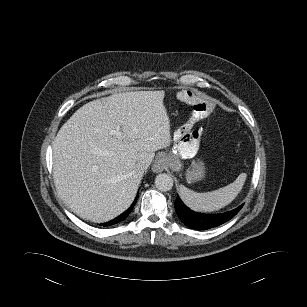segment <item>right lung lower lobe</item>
I'll return each instance as SVG.
<instances>
[{"label": "right lung lower lobe", "mask_w": 307, "mask_h": 307, "mask_svg": "<svg viewBox=\"0 0 307 307\" xmlns=\"http://www.w3.org/2000/svg\"><path fill=\"white\" fill-rule=\"evenodd\" d=\"M136 200H137V197L134 200V202L131 205V207L129 209H127L124 213H122L120 216H118L117 218H115V219H113V220H111L109 222L101 224V226H104V227L105 226H111V225H114L116 223H119V222L123 221L130 214V212L132 211V209H133V207H134V205L136 203Z\"/></svg>", "instance_id": "98d812e1"}]
</instances>
